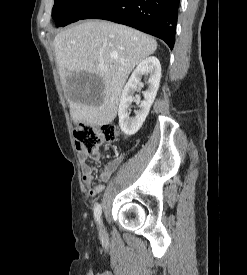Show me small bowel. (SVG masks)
I'll use <instances>...</instances> for the list:
<instances>
[{
	"label": "small bowel",
	"mask_w": 247,
	"mask_h": 275,
	"mask_svg": "<svg viewBox=\"0 0 247 275\" xmlns=\"http://www.w3.org/2000/svg\"><path fill=\"white\" fill-rule=\"evenodd\" d=\"M88 157V153H81L82 178L89 194L91 196H96L103 191L104 184L111 178L112 174L120 166L123 157H118L108 162L102 169L97 182L94 180V169L88 163Z\"/></svg>",
	"instance_id": "1"
}]
</instances>
